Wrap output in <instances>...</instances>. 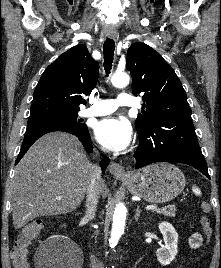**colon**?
Instances as JSON below:
<instances>
[{
	"mask_svg": "<svg viewBox=\"0 0 221 268\" xmlns=\"http://www.w3.org/2000/svg\"><path fill=\"white\" fill-rule=\"evenodd\" d=\"M211 207L208 203L204 202L201 205L202 217L200 220L201 227L203 229L204 235L207 239H210L213 233L211 221L209 219V213ZM42 222H32L27 224L21 231L20 236L16 242V245L12 252V259L15 268H30L27 260V251L30 240L35 238L43 229Z\"/></svg>",
	"mask_w": 221,
	"mask_h": 268,
	"instance_id": "1",
	"label": "colon"
}]
</instances>
